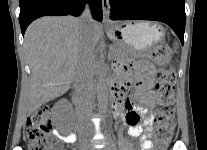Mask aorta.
Here are the masks:
<instances>
[{
    "mask_svg": "<svg viewBox=\"0 0 207 150\" xmlns=\"http://www.w3.org/2000/svg\"><path fill=\"white\" fill-rule=\"evenodd\" d=\"M107 72L104 68H100L96 81L97 100L102 109H106L108 104V87L106 81Z\"/></svg>",
    "mask_w": 207,
    "mask_h": 150,
    "instance_id": "1",
    "label": "aorta"
}]
</instances>
